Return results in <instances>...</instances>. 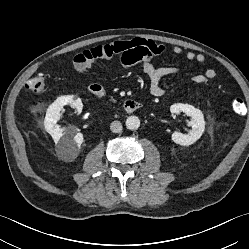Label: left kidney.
I'll return each mask as SVG.
<instances>
[{"label":"left kidney","mask_w":249,"mask_h":249,"mask_svg":"<svg viewBox=\"0 0 249 249\" xmlns=\"http://www.w3.org/2000/svg\"><path fill=\"white\" fill-rule=\"evenodd\" d=\"M172 114L185 113L187 116L191 117L189 125L192 130L188 134H182L180 132H174L172 134V140L179 145L189 146L195 143L204 133L205 121L201 110L195 108L189 104L177 103L170 107Z\"/></svg>","instance_id":"obj_1"}]
</instances>
